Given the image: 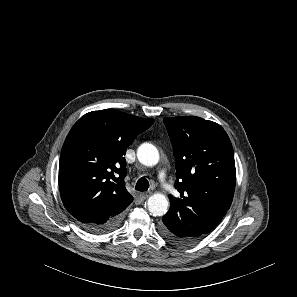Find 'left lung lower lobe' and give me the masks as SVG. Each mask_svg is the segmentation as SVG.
<instances>
[{"label": "left lung lower lobe", "instance_id": "1", "mask_svg": "<svg viewBox=\"0 0 297 297\" xmlns=\"http://www.w3.org/2000/svg\"><path fill=\"white\" fill-rule=\"evenodd\" d=\"M175 210L170 206L169 211L162 218L161 233L165 239L176 244H188L192 240L185 237L181 232L180 225L177 223L178 218L175 217Z\"/></svg>", "mask_w": 297, "mask_h": 297}]
</instances>
